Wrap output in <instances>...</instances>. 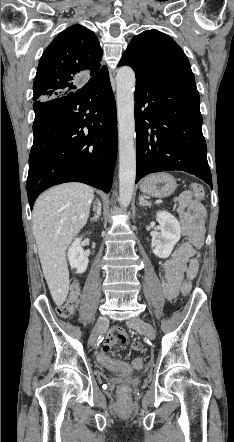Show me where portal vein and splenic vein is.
Wrapping results in <instances>:
<instances>
[{"instance_id": "obj_1", "label": "portal vein and splenic vein", "mask_w": 234, "mask_h": 442, "mask_svg": "<svg viewBox=\"0 0 234 442\" xmlns=\"http://www.w3.org/2000/svg\"><path fill=\"white\" fill-rule=\"evenodd\" d=\"M161 202H162L161 200H159V201H156V203H157V204H159V203H161Z\"/></svg>"}]
</instances>
